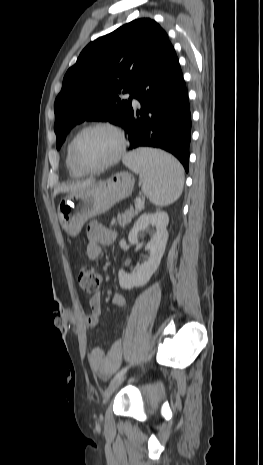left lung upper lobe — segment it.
Returning a JSON list of instances; mask_svg holds the SVG:
<instances>
[{
    "instance_id": "obj_1",
    "label": "left lung upper lobe",
    "mask_w": 263,
    "mask_h": 465,
    "mask_svg": "<svg viewBox=\"0 0 263 465\" xmlns=\"http://www.w3.org/2000/svg\"><path fill=\"white\" fill-rule=\"evenodd\" d=\"M169 42L154 20L141 18L88 44L63 79L54 104L59 149L67 133L84 120L121 126L131 109L120 93L132 89Z\"/></svg>"
}]
</instances>
